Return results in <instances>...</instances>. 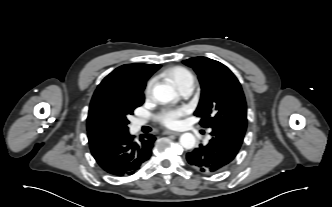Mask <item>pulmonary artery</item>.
<instances>
[{
    "mask_svg": "<svg viewBox=\"0 0 332 207\" xmlns=\"http://www.w3.org/2000/svg\"><path fill=\"white\" fill-rule=\"evenodd\" d=\"M192 85H193L192 83H189V84L185 85L184 87H182V88L180 89L181 94L184 95V96H188V95H190L191 92H192V88H193ZM136 124H137L138 126H140V125L144 124V121H143V120H137V121H136Z\"/></svg>",
    "mask_w": 332,
    "mask_h": 207,
    "instance_id": "pulmonary-artery-1",
    "label": "pulmonary artery"
}]
</instances>
